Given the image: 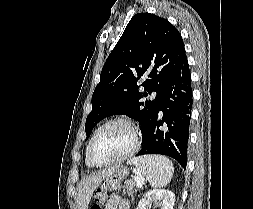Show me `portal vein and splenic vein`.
Instances as JSON below:
<instances>
[{"label":"portal vein and splenic vein","mask_w":253,"mask_h":209,"mask_svg":"<svg viewBox=\"0 0 253 209\" xmlns=\"http://www.w3.org/2000/svg\"><path fill=\"white\" fill-rule=\"evenodd\" d=\"M134 180H135V182H136V184H137V186H138L139 188L142 187L143 179H142L141 177L135 176V177H134Z\"/></svg>","instance_id":"obj_1"}]
</instances>
